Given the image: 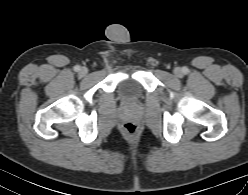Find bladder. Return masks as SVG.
I'll use <instances>...</instances> for the list:
<instances>
[{
    "label": "bladder",
    "mask_w": 248,
    "mask_h": 195,
    "mask_svg": "<svg viewBox=\"0 0 248 195\" xmlns=\"http://www.w3.org/2000/svg\"><path fill=\"white\" fill-rule=\"evenodd\" d=\"M122 92L127 96H135L142 92L141 86L134 80H127L121 85Z\"/></svg>",
    "instance_id": "bladder-1"
}]
</instances>
